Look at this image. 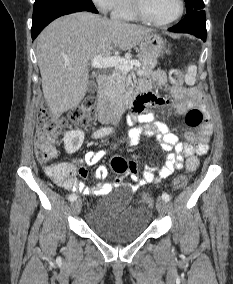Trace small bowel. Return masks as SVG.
<instances>
[{"label": "small bowel", "instance_id": "small-bowel-1", "mask_svg": "<svg viewBox=\"0 0 233 284\" xmlns=\"http://www.w3.org/2000/svg\"><path fill=\"white\" fill-rule=\"evenodd\" d=\"M166 84L167 77L162 70L154 71L150 79H143L139 85L142 94L137 98L133 111L128 117L129 123L142 125L141 128L132 130L131 138L133 140L142 132L146 135H156L161 148L168 152L167 160L157 174H155V169L150 165H146L142 170H139L137 162H129L125 175L129 176L140 187L161 181L163 178L171 175L174 170L181 169L185 160L189 157L205 155L208 152L212 134V126L208 120L199 127L197 132H187L185 134L187 142L179 141L177 135L172 133L166 125L154 122L153 115L149 111L151 106H165L172 103L177 114H184L189 109L200 107L203 104L202 93L193 87L172 86L170 88L171 100L150 92L152 85L163 87ZM104 156V150H89L82 158L73 162L48 165L45 167V172L58 185L66 189L83 194L107 192L112 187L109 183L87 186L82 180L78 179V176L81 179L88 177V170L84 164L88 166L95 165ZM108 174L109 171L105 166H99L94 172V177L98 180H104L108 177ZM115 184H118V182Z\"/></svg>", "mask_w": 233, "mask_h": 284}]
</instances>
